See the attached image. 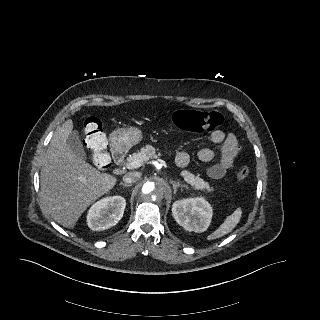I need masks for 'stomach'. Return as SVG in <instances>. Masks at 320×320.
Wrapping results in <instances>:
<instances>
[{
	"label": "stomach",
	"instance_id": "obj_1",
	"mask_svg": "<svg viewBox=\"0 0 320 320\" xmlns=\"http://www.w3.org/2000/svg\"><path fill=\"white\" fill-rule=\"evenodd\" d=\"M142 138V131L135 127L118 128L110 134L111 145L122 150L138 144Z\"/></svg>",
	"mask_w": 320,
	"mask_h": 320
}]
</instances>
